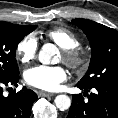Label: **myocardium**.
<instances>
[{
  "label": "myocardium",
  "mask_w": 118,
  "mask_h": 118,
  "mask_svg": "<svg viewBox=\"0 0 118 118\" xmlns=\"http://www.w3.org/2000/svg\"><path fill=\"white\" fill-rule=\"evenodd\" d=\"M63 61L73 70H83L88 62L86 53L80 49H63Z\"/></svg>",
  "instance_id": "myocardium-1"
}]
</instances>
